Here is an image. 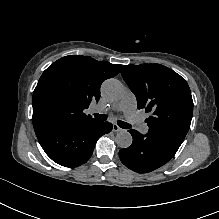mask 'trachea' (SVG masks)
I'll return each mask as SVG.
<instances>
[{
	"label": "trachea",
	"mask_w": 219,
	"mask_h": 219,
	"mask_svg": "<svg viewBox=\"0 0 219 219\" xmlns=\"http://www.w3.org/2000/svg\"><path fill=\"white\" fill-rule=\"evenodd\" d=\"M94 117L97 119V120H100V121H105L107 120L108 118V115L107 114H98V113H95L94 114ZM117 124L121 127V128H124V129H129L131 127L130 124L124 122V121H121V120H117Z\"/></svg>",
	"instance_id": "3493384b"
}]
</instances>
